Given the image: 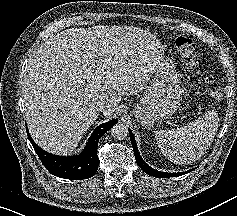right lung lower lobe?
Instances as JSON below:
<instances>
[{
    "instance_id": "obj_1",
    "label": "right lung lower lobe",
    "mask_w": 237,
    "mask_h": 216,
    "mask_svg": "<svg viewBox=\"0 0 237 216\" xmlns=\"http://www.w3.org/2000/svg\"><path fill=\"white\" fill-rule=\"evenodd\" d=\"M117 122V119H113L99 125L92 133L82 153L71 157L57 156L44 151L33 141L27 128L26 130L39 159L52 175L65 179L82 180L92 177L97 172L99 166L98 141Z\"/></svg>"
}]
</instances>
